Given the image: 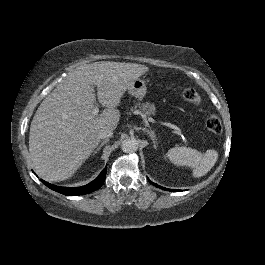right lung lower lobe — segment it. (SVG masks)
<instances>
[{
  "mask_svg": "<svg viewBox=\"0 0 265 265\" xmlns=\"http://www.w3.org/2000/svg\"><path fill=\"white\" fill-rule=\"evenodd\" d=\"M105 177H106V168L102 170L100 175L94 181H92L91 183L85 186H81V187H60V186H55L53 184L45 182L42 179L41 181L47 187H49L50 189L56 192H59L61 194L68 195V196H77V195H85V194L91 193L99 189L104 183Z\"/></svg>",
  "mask_w": 265,
  "mask_h": 265,
  "instance_id": "right-lung-lower-lobe-1",
  "label": "right lung lower lobe"
}]
</instances>
